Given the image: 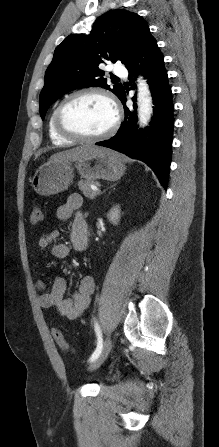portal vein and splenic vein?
Masks as SVG:
<instances>
[{"instance_id":"obj_1","label":"portal vein and splenic vein","mask_w":219,"mask_h":447,"mask_svg":"<svg viewBox=\"0 0 219 447\" xmlns=\"http://www.w3.org/2000/svg\"><path fill=\"white\" fill-rule=\"evenodd\" d=\"M91 189H92L94 192H100V190H99L96 186H94V185H91Z\"/></svg>"}]
</instances>
